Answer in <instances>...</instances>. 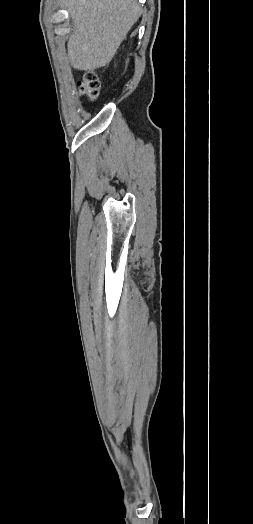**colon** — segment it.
Here are the masks:
<instances>
[{"label": "colon", "instance_id": "5ec220e1", "mask_svg": "<svg viewBox=\"0 0 253 524\" xmlns=\"http://www.w3.org/2000/svg\"><path fill=\"white\" fill-rule=\"evenodd\" d=\"M79 91L82 96L94 101L101 89V83L94 70H85L78 82Z\"/></svg>", "mask_w": 253, "mask_h": 524}]
</instances>
